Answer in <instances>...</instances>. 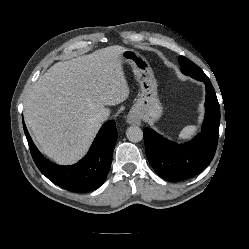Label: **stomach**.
Masks as SVG:
<instances>
[{
  "label": "stomach",
  "instance_id": "1",
  "mask_svg": "<svg viewBox=\"0 0 249 249\" xmlns=\"http://www.w3.org/2000/svg\"><path fill=\"white\" fill-rule=\"evenodd\" d=\"M122 64H130L140 85V93L130 114L144 121L153 123L162 115V105L157 95V82L148 60L132 49H124L120 53Z\"/></svg>",
  "mask_w": 249,
  "mask_h": 249
}]
</instances>
